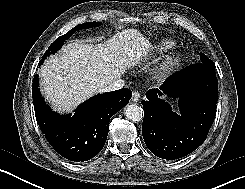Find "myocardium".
Here are the masks:
<instances>
[{"instance_id": "myocardium-1", "label": "myocardium", "mask_w": 245, "mask_h": 189, "mask_svg": "<svg viewBox=\"0 0 245 189\" xmlns=\"http://www.w3.org/2000/svg\"><path fill=\"white\" fill-rule=\"evenodd\" d=\"M182 61V55L179 53H174L170 55L164 63V70L170 71L176 68Z\"/></svg>"}]
</instances>
